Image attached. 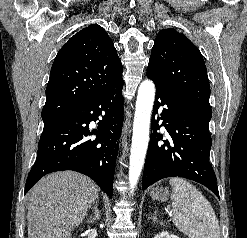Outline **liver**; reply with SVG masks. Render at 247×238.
Returning <instances> with one entry per match:
<instances>
[{"label":"liver","instance_id":"6515ba94","mask_svg":"<svg viewBox=\"0 0 247 238\" xmlns=\"http://www.w3.org/2000/svg\"><path fill=\"white\" fill-rule=\"evenodd\" d=\"M97 199V185L82 174L47 175L30 192L28 238H70Z\"/></svg>","mask_w":247,"mask_h":238}]
</instances>
